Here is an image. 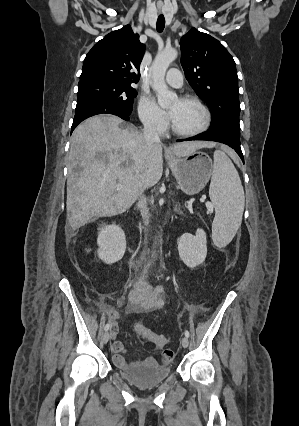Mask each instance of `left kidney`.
<instances>
[{"instance_id": "5707ae66", "label": "left kidney", "mask_w": 299, "mask_h": 426, "mask_svg": "<svg viewBox=\"0 0 299 426\" xmlns=\"http://www.w3.org/2000/svg\"><path fill=\"white\" fill-rule=\"evenodd\" d=\"M181 260L189 268H195L205 261L207 256V238L203 229H197L195 236L183 234L178 241Z\"/></svg>"}]
</instances>
